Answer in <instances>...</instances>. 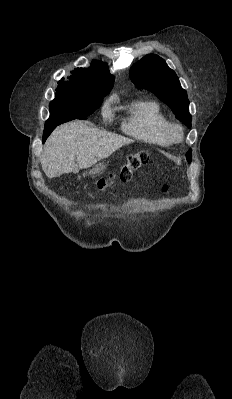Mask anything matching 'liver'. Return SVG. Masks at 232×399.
<instances>
[{"label": "liver", "mask_w": 232, "mask_h": 399, "mask_svg": "<svg viewBox=\"0 0 232 399\" xmlns=\"http://www.w3.org/2000/svg\"><path fill=\"white\" fill-rule=\"evenodd\" d=\"M133 140L98 130L87 122H69L52 132L44 148L41 166L47 178L91 168ZM77 162V164H76Z\"/></svg>", "instance_id": "1"}]
</instances>
